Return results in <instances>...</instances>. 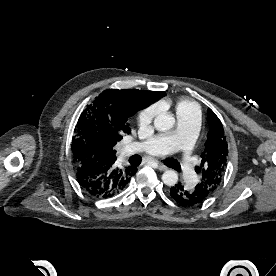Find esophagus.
Instances as JSON below:
<instances>
[{
  "label": "esophagus",
  "instance_id": "34e87169",
  "mask_svg": "<svg viewBox=\"0 0 276 276\" xmlns=\"http://www.w3.org/2000/svg\"><path fill=\"white\" fill-rule=\"evenodd\" d=\"M147 160L148 161H156L158 163V168H159L160 171H165V170L168 169V167L166 165H164L163 163H161V162H159V161H157V160H155L151 157H147Z\"/></svg>",
  "mask_w": 276,
  "mask_h": 276
}]
</instances>
